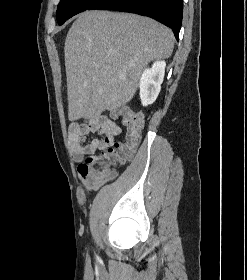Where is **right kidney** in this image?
Masks as SVG:
<instances>
[{
    "label": "right kidney",
    "mask_w": 247,
    "mask_h": 280,
    "mask_svg": "<svg viewBox=\"0 0 247 280\" xmlns=\"http://www.w3.org/2000/svg\"><path fill=\"white\" fill-rule=\"evenodd\" d=\"M165 66V61H156L151 68L144 70L139 85L143 106L152 104L156 100L163 82Z\"/></svg>",
    "instance_id": "1"
}]
</instances>
